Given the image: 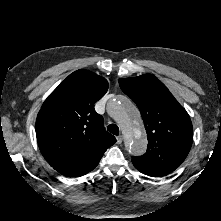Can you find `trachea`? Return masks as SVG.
Masks as SVG:
<instances>
[{
  "mask_svg": "<svg viewBox=\"0 0 221 221\" xmlns=\"http://www.w3.org/2000/svg\"><path fill=\"white\" fill-rule=\"evenodd\" d=\"M107 130L114 135H119V128L116 124H110Z\"/></svg>",
  "mask_w": 221,
  "mask_h": 221,
  "instance_id": "trachea-1",
  "label": "trachea"
}]
</instances>
